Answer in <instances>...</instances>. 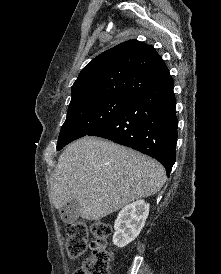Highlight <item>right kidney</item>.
I'll use <instances>...</instances> for the list:
<instances>
[{"label":"right kidney","mask_w":221,"mask_h":274,"mask_svg":"<svg viewBox=\"0 0 221 274\" xmlns=\"http://www.w3.org/2000/svg\"><path fill=\"white\" fill-rule=\"evenodd\" d=\"M149 215V204L138 200L126 205L115 220L113 243L123 248L132 242L140 233Z\"/></svg>","instance_id":"obj_1"}]
</instances>
